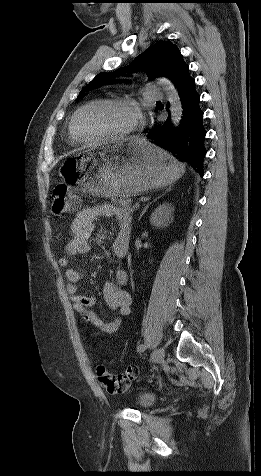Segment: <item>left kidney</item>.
Instances as JSON below:
<instances>
[{"label": "left kidney", "instance_id": "1", "mask_svg": "<svg viewBox=\"0 0 261 476\" xmlns=\"http://www.w3.org/2000/svg\"><path fill=\"white\" fill-rule=\"evenodd\" d=\"M174 208L171 204L163 203L159 205L151 214L150 223L155 227H165L172 221V212Z\"/></svg>", "mask_w": 261, "mask_h": 476}]
</instances>
